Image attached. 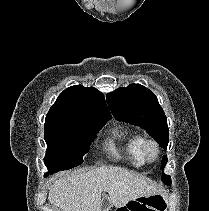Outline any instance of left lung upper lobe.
Instances as JSON below:
<instances>
[{
	"mask_svg": "<svg viewBox=\"0 0 209 211\" xmlns=\"http://www.w3.org/2000/svg\"><path fill=\"white\" fill-rule=\"evenodd\" d=\"M107 101L116 119L145 129L161 147L167 148V118L158 99L148 88L139 84L118 88L107 95ZM166 163L167 156H164L161 169H164ZM169 179L170 176L163 174L162 181Z\"/></svg>",
	"mask_w": 209,
	"mask_h": 211,
	"instance_id": "1",
	"label": "left lung upper lobe"
}]
</instances>
